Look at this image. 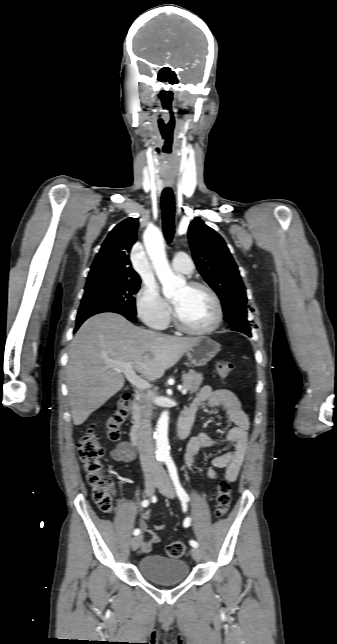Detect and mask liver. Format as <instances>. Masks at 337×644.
Wrapping results in <instances>:
<instances>
[{
  "instance_id": "1",
  "label": "liver",
  "mask_w": 337,
  "mask_h": 644,
  "mask_svg": "<svg viewBox=\"0 0 337 644\" xmlns=\"http://www.w3.org/2000/svg\"><path fill=\"white\" fill-rule=\"evenodd\" d=\"M197 340L144 330L116 313L87 319L70 344L66 367L74 424L84 423L124 386V376L113 362H131L141 376L161 378Z\"/></svg>"
}]
</instances>
